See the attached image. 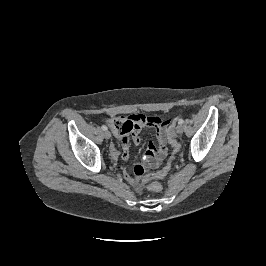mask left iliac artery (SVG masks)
Returning <instances> with one entry per match:
<instances>
[{
	"instance_id": "obj_1",
	"label": "left iliac artery",
	"mask_w": 266,
	"mask_h": 266,
	"mask_svg": "<svg viewBox=\"0 0 266 266\" xmlns=\"http://www.w3.org/2000/svg\"><path fill=\"white\" fill-rule=\"evenodd\" d=\"M184 123V120L183 119H179L178 120V124L182 125Z\"/></svg>"
}]
</instances>
